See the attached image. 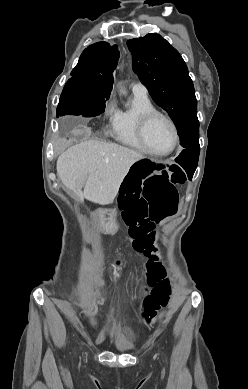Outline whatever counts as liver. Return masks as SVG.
Segmentation results:
<instances>
[{
  "mask_svg": "<svg viewBox=\"0 0 248 389\" xmlns=\"http://www.w3.org/2000/svg\"><path fill=\"white\" fill-rule=\"evenodd\" d=\"M144 158L116 143L90 140L73 145L59 156L57 175L82 203L87 199L104 205L114 200L130 167Z\"/></svg>",
  "mask_w": 248,
  "mask_h": 389,
  "instance_id": "6515ba94",
  "label": "liver"
}]
</instances>
